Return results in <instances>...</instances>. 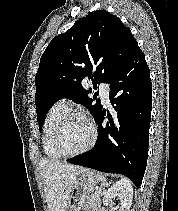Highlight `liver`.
<instances>
[{
    "label": "liver",
    "instance_id": "6515ba94",
    "mask_svg": "<svg viewBox=\"0 0 178 211\" xmlns=\"http://www.w3.org/2000/svg\"><path fill=\"white\" fill-rule=\"evenodd\" d=\"M39 170L49 211H66L73 185L78 175L87 169L60 161L41 159Z\"/></svg>",
    "mask_w": 178,
    "mask_h": 211
}]
</instances>
